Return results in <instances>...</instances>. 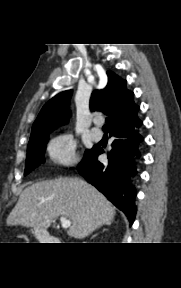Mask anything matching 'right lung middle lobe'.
<instances>
[{
  "label": "right lung middle lobe",
  "instance_id": "obj_1",
  "mask_svg": "<svg viewBox=\"0 0 181 288\" xmlns=\"http://www.w3.org/2000/svg\"><path fill=\"white\" fill-rule=\"evenodd\" d=\"M48 133H42L29 141L24 175L30 173L41 163H44V152L48 142ZM91 151L92 149L85 151L84 159L91 153Z\"/></svg>",
  "mask_w": 181,
  "mask_h": 288
}]
</instances>
